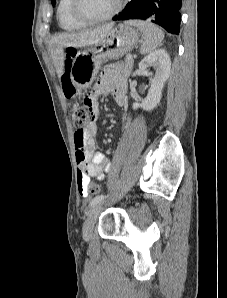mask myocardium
I'll use <instances>...</instances> for the list:
<instances>
[{
	"label": "myocardium",
	"mask_w": 227,
	"mask_h": 298,
	"mask_svg": "<svg viewBox=\"0 0 227 298\" xmlns=\"http://www.w3.org/2000/svg\"><path fill=\"white\" fill-rule=\"evenodd\" d=\"M80 2H81L80 0H71V13L75 19H77L78 21H80L86 25L103 23V22H106V21L112 19L114 16H116L120 12V10L122 9V6H123V0H117L115 7L107 15L99 17V18H91V17L85 16L81 12Z\"/></svg>",
	"instance_id": "obj_1"
}]
</instances>
